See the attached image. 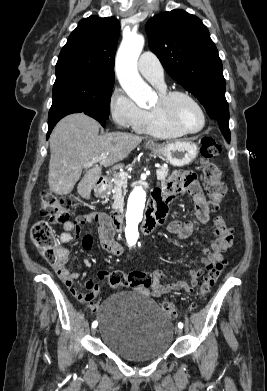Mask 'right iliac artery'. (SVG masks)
<instances>
[{"instance_id": "82829eb1", "label": "right iliac artery", "mask_w": 267, "mask_h": 391, "mask_svg": "<svg viewBox=\"0 0 267 391\" xmlns=\"http://www.w3.org/2000/svg\"><path fill=\"white\" fill-rule=\"evenodd\" d=\"M97 325H98V324H97L96 321H94V322L92 323V327H93V328H95Z\"/></svg>"}]
</instances>
